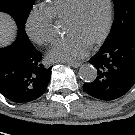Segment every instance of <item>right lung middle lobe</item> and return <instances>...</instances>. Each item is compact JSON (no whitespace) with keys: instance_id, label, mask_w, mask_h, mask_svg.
<instances>
[{"instance_id":"right-lung-middle-lobe-1","label":"right lung middle lobe","mask_w":135,"mask_h":135,"mask_svg":"<svg viewBox=\"0 0 135 135\" xmlns=\"http://www.w3.org/2000/svg\"><path fill=\"white\" fill-rule=\"evenodd\" d=\"M35 0H0V11L10 14L19 28L25 30V22Z\"/></svg>"}]
</instances>
